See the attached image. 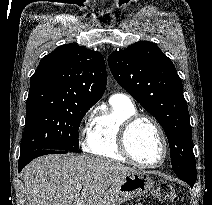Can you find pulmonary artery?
Here are the masks:
<instances>
[{"mask_svg":"<svg viewBox=\"0 0 212 205\" xmlns=\"http://www.w3.org/2000/svg\"><path fill=\"white\" fill-rule=\"evenodd\" d=\"M112 97H120V98H124V99L130 100L129 96H127V95H125L123 93H116Z\"/></svg>","mask_w":212,"mask_h":205,"instance_id":"1","label":"pulmonary artery"}]
</instances>
